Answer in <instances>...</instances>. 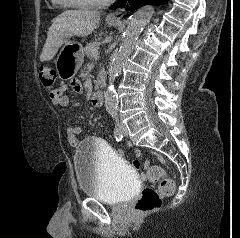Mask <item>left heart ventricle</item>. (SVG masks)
<instances>
[{"label": "left heart ventricle", "mask_w": 240, "mask_h": 238, "mask_svg": "<svg viewBox=\"0 0 240 238\" xmlns=\"http://www.w3.org/2000/svg\"><path fill=\"white\" fill-rule=\"evenodd\" d=\"M77 1L98 2V1H103V0H77Z\"/></svg>", "instance_id": "1"}]
</instances>
